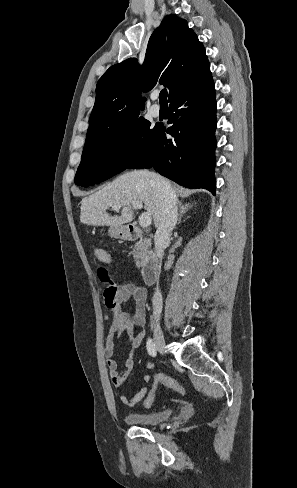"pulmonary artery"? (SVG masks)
Here are the masks:
<instances>
[{
	"label": "pulmonary artery",
	"mask_w": 297,
	"mask_h": 488,
	"mask_svg": "<svg viewBox=\"0 0 297 488\" xmlns=\"http://www.w3.org/2000/svg\"><path fill=\"white\" fill-rule=\"evenodd\" d=\"M152 98L153 99H156L157 98V95H153ZM150 113L152 114V116L158 117L160 115V108H159V106L153 105L151 107V109H150Z\"/></svg>",
	"instance_id": "pulmonary-artery-1"
}]
</instances>
